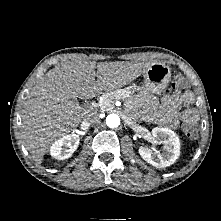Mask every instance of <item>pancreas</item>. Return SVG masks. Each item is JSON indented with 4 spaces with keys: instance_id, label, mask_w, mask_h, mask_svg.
Here are the masks:
<instances>
[{
    "instance_id": "pancreas-1",
    "label": "pancreas",
    "mask_w": 221,
    "mask_h": 221,
    "mask_svg": "<svg viewBox=\"0 0 221 221\" xmlns=\"http://www.w3.org/2000/svg\"><path fill=\"white\" fill-rule=\"evenodd\" d=\"M116 99L124 100L126 109L133 107V98L129 89H119L104 94L102 100L98 102L97 107L101 111L111 110L114 108V100Z\"/></svg>"
}]
</instances>
